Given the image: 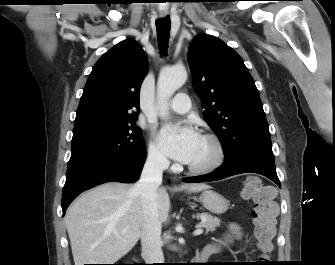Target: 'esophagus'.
<instances>
[{
	"mask_svg": "<svg viewBox=\"0 0 335 265\" xmlns=\"http://www.w3.org/2000/svg\"><path fill=\"white\" fill-rule=\"evenodd\" d=\"M166 16H167V13H166V12H161V13H160V17L164 18V17H166Z\"/></svg>",
	"mask_w": 335,
	"mask_h": 265,
	"instance_id": "1",
	"label": "esophagus"
}]
</instances>
